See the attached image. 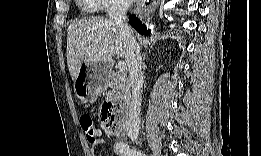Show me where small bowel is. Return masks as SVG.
<instances>
[{
    "mask_svg": "<svg viewBox=\"0 0 261 156\" xmlns=\"http://www.w3.org/2000/svg\"><path fill=\"white\" fill-rule=\"evenodd\" d=\"M103 143H104V140L103 139H99L96 144H103ZM118 155H120V154H118Z\"/></svg>",
    "mask_w": 261,
    "mask_h": 156,
    "instance_id": "c3829d8e",
    "label": "small bowel"
}]
</instances>
